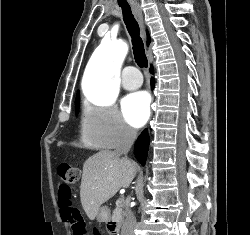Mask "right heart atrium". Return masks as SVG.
<instances>
[{
  "label": "right heart atrium",
  "instance_id": "right-heart-atrium-1",
  "mask_svg": "<svg viewBox=\"0 0 250 235\" xmlns=\"http://www.w3.org/2000/svg\"><path fill=\"white\" fill-rule=\"evenodd\" d=\"M136 135L115 106L85 105L80 124V136L85 144L114 149L131 144Z\"/></svg>",
  "mask_w": 250,
  "mask_h": 235
}]
</instances>
